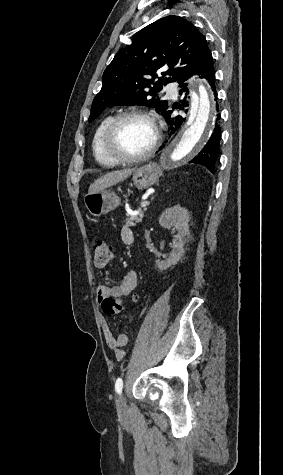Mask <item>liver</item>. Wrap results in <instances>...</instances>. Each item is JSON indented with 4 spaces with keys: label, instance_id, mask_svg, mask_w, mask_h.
I'll use <instances>...</instances> for the list:
<instances>
[{
    "label": "liver",
    "instance_id": "6515ba94",
    "mask_svg": "<svg viewBox=\"0 0 283 475\" xmlns=\"http://www.w3.org/2000/svg\"><path fill=\"white\" fill-rule=\"evenodd\" d=\"M135 168H127V170H117V172H108L105 176H101L98 180H95L94 184H91L88 194H98L102 192L105 188H111L119 182H124L128 176H131Z\"/></svg>",
    "mask_w": 283,
    "mask_h": 475
}]
</instances>
